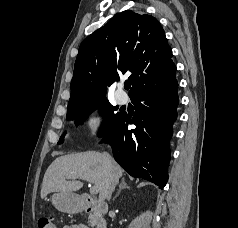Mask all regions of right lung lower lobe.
Listing matches in <instances>:
<instances>
[{
  "mask_svg": "<svg viewBox=\"0 0 238 228\" xmlns=\"http://www.w3.org/2000/svg\"><path fill=\"white\" fill-rule=\"evenodd\" d=\"M175 75L148 85L130 98L136 107L130 120L122 114L102 142L111 145L115 160L133 177L151 181L163 189L168 179L169 140L179 103ZM135 124L128 130V124Z\"/></svg>",
  "mask_w": 238,
  "mask_h": 228,
  "instance_id": "1",
  "label": "right lung lower lobe"
}]
</instances>
